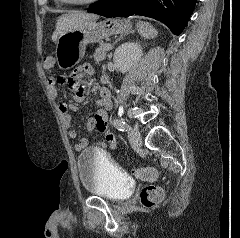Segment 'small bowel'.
Instances as JSON below:
<instances>
[{
  "label": "small bowel",
  "mask_w": 240,
  "mask_h": 238,
  "mask_svg": "<svg viewBox=\"0 0 240 238\" xmlns=\"http://www.w3.org/2000/svg\"><path fill=\"white\" fill-rule=\"evenodd\" d=\"M94 72L93 68L85 64L80 67L74 74L70 77H54L51 76L47 79V87L50 94L55 98L57 97L58 85L68 84L70 90L73 93V97L76 101H82L87 94V85L84 82L86 75H92ZM112 103L110 100V92L107 88H100V97L94 103V114L88 119L86 127L89 132L97 130L104 134V141L99 143L101 146L109 145L112 148H123V143L116 142L114 136L108 132V114L111 110ZM59 111L62 115V121L67 129L68 136L71 139H76L78 132L75 128V122L70 115L71 112H77L78 109L75 105L68 102H61L59 104ZM88 140L85 138L79 139L74 144V148L80 151L87 147Z\"/></svg>",
  "instance_id": "small-bowel-1"
}]
</instances>
